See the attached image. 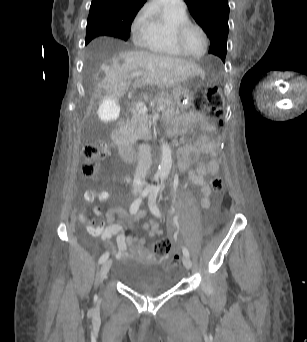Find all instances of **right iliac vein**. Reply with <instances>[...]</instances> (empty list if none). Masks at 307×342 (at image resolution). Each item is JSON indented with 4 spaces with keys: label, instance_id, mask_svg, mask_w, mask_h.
Masks as SVG:
<instances>
[{
    "label": "right iliac vein",
    "instance_id": "63e3f726",
    "mask_svg": "<svg viewBox=\"0 0 307 342\" xmlns=\"http://www.w3.org/2000/svg\"><path fill=\"white\" fill-rule=\"evenodd\" d=\"M111 264H112V260L109 259V260H106L103 265L101 266V269H100V281L102 282L104 280V278L107 276L108 272H109V269L111 267Z\"/></svg>",
    "mask_w": 307,
    "mask_h": 342
}]
</instances>
